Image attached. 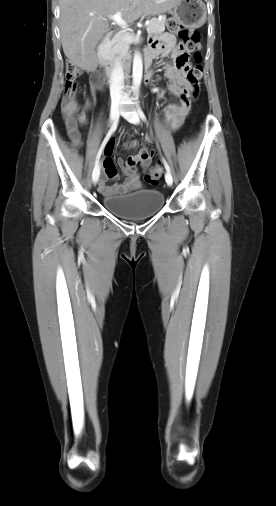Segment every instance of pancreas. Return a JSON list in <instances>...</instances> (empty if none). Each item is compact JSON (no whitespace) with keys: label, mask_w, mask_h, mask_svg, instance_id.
Instances as JSON below:
<instances>
[{"label":"pancreas","mask_w":276,"mask_h":506,"mask_svg":"<svg viewBox=\"0 0 276 506\" xmlns=\"http://www.w3.org/2000/svg\"><path fill=\"white\" fill-rule=\"evenodd\" d=\"M165 21L156 18L151 19L147 26L149 35L158 34L165 30ZM126 33L116 35L107 45L106 56L112 60L118 57H124L128 54L129 44L126 42Z\"/></svg>","instance_id":"1"}]
</instances>
